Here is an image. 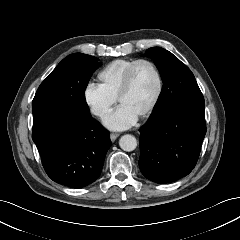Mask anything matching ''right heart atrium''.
Returning <instances> with one entry per match:
<instances>
[{
    "mask_svg": "<svg viewBox=\"0 0 240 240\" xmlns=\"http://www.w3.org/2000/svg\"><path fill=\"white\" fill-rule=\"evenodd\" d=\"M84 100L93 114L104 119L116 103V98L111 97L100 85L87 84L84 90Z\"/></svg>",
    "mask_w": 240,
    "mask_h": 240,
    "instance_id": "1",
    "label": "right heart atrium"
}]
</instances>
